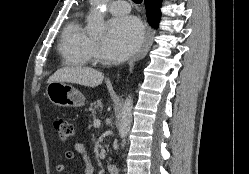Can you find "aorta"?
Wrapping results in <instances>:
<instances>
[{"label":"aorta","mask_w":249,"mask_h":174,"mask_svg":"<svg viewBox=\"0 0 249 174\" xmlns=\"http://www.w3.org/2000/svg\"><path fill=\"white\" fill-rule=\"evenodd\" d=\"M107 2H109V0H91L92 8L87 18V30L90 35L99 36L104 33L106 25L100 8ZM132 109L133 99L131 96H128L121 109V122L119 126V132L122 136V148H124L126 144V137L130 132L132 123Z\"/></svg>","instance_id":"1"}]
</instances>
